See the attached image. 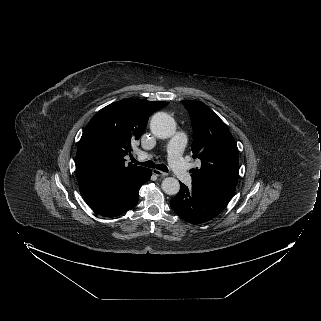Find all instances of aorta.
I'll list each match as a JSON object with an SVG mask.
<instances>
[{
    "mask_svg": "<svg viewBox=\"0 0 321 321\" xmlns=\"http://www.w3.org/2000/svg\"><path fill=\"white\" fill-rule=\"evenodd\" d=\"M151 132L158 138H170L176 129L174 119L167 113L158 112L150 121ZM162 190L168 195H176L180 190L179 181L173 177H167L162 181Z\"/></svg>",
    "mask_w": 321,
    "mask_h": 321,
    "instance_id": "aorta-1",
    "label": "aorta"
}]
</instances>
